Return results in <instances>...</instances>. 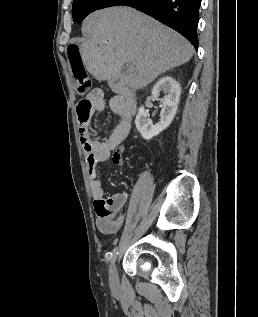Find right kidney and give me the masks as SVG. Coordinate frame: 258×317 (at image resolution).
<instances>
[{
    "label": "right kidney",
    "instance_id": "ca27d5eb",
    "mask_svg": "<svg viewBox=\"0 0 258 317\" xmlns=\"http://www.w3.org/2000/svg\"><path fill=\"white\" fill-rule=\"evenodd\" d=\"M160 90L165 92V98L162 100L161 118H159V122H157V124H153L144 106H140L136 114V128L139 132H141V136L146 138V140H149V138L156 136V134H159L161 130L167 128L170 122H172L178 108V102L181 94V86L179 82L167 74V76H163V78H160V80L154 84L151 92L152 96H159Z\"/></svg>",
    "mask_w": 258,
    "mask_h": 317
}]
</instances>
